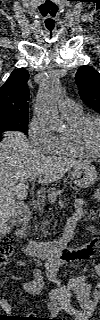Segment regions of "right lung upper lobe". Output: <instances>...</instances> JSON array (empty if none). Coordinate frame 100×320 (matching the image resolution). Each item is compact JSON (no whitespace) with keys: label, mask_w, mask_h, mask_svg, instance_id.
Here are the masks:
<instances>
[{"label":"right lung upper lobe","mask_w":100,"mask_h":320,"mask_svg":"<svg viewBox=\"0 0 100 320\" xmlns=\"http://www.w3.org/2000/svg\"><path fill=\"white\" fill-rule=\"evenodd\" d=\"M28 72L15 69L0 88V120L28 119Z\"/></svg>","instance_id":"cb5924a9"}]
</instances>
